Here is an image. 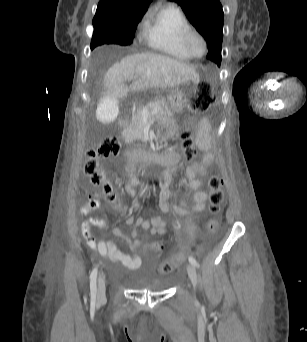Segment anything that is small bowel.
I'll return each mask as SVG.
<instances>
[{
  "mask_svg": "<svg viewBox=\"0 0 307 342\" xmlns=\"http://www.w3.org/2000/svg\"><path fill=\"white\" fill-rule=\"evenodd\" d=\"M191 123L196 131L195 144L196 147L204 153L200 161L191 162L186 169L187 183L186 185L193 191L192 205L181 203L180 206H171L168 203L170 196L169 184L171 178L178 170V163L180 162V155L177 152H171L170 155L174 159V169L167 176L166 181L161 189L159 197V207L165 213H177V214H196L206 209V203L208 195L205 191L200 189L201 181L200 177H204L208 174L211 164L215 160V154L212 151V135L211 125L206 117H194L191 119ZM128 181L126 184V191L129 194L135 193V186L137 184V177L133 168H128ZM101 206L100 198L98 195L89 196L86 204L81 208V215L87 216L91 212L99 209ZM123 217L126 223L131 227L133 239L124 237L119 229H114V233L117 236L125 238L131 251H135L139 248L141 240L136 238L137 227L140 226L144 230L156 231V233L168 232L164 221L157 216L152 217L151 221L144 220L142 218L134 219L126 211L123 212ZM91 226H97L103 229H107V223L102 219L89 218L84 221L81 226L82 235L87 244L102 256L110 258L112 261L121 263L129 269H136L140 265V258L138 256H130L126 252L120 250L116 244L111 240L97 242L91 234Z\"/></svg>",
  "mask_w": 307,
  "mask_h": 342,
  "instance_id": "small-bowel-1",
  "label": "small bowel"
}]
</instances>
